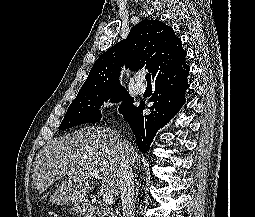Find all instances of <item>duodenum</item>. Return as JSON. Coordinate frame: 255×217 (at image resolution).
<instances>
[{"label":"duodenum","mask_w":255,"mask_h":217,"mask_svg":"<svg viewBox=\"0 0 255 217\" xmlns=\"http://www.w3.org/2000/svg\"><path fill=\"white\" fill-rule=\"evenodd\" d=\"M82 209H83L84 213L87 215H92V213H93V207L90 205H84L82 207Z\"/></svg>","instance_id":"obj_1"}]
</instances>
